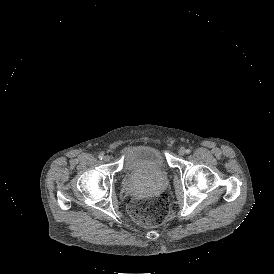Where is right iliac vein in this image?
Returning a JSON list of instances; mask_svg holds the SVG:
<instances>
[{"mask_svg":"<svg viewBox=\"0 0 274 274\" xmlns=\"http://www.w3.org/2000/svg\"><path fill=\"white\" fill-rule=\"evenodd\" d=\"M103 160H104L105 162H109V161L111 160V156L105 155V156L103 157Z\"/></svg>","mask_w":274,"mask_h":274,"instance_id":"63e3f726","label":"right iliac vein"}]
</instances>
